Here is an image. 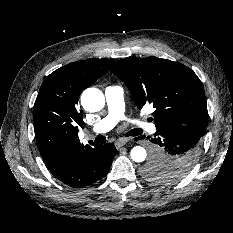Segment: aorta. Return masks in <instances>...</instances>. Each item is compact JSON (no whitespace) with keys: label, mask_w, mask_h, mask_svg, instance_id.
Masks as SVG:
<instances>
[{"label":"aorta","mask_w":233,"mask_h":233,"mask_svg":"<svg viewBox=\"0 0 233 233\" xmlns=\"http://www.w3.org/2000/svg\"><path fill=\"white\" fill-rule=\"evenodd\" d=\"M81 104L86 111L98 112L105 104L103 93L97 88H87L81 95ZM131 159L135 162H143L146 159V150L136 146L131 150Z\"/></svg>","instance_id":"obj_1"}]
</instances>
